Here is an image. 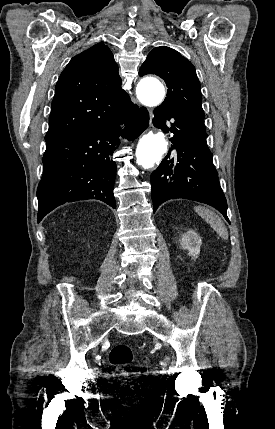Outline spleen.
<instances>
[{"label": "spleen", "mask_w": 275, "mask_h": 429, "mask_svg": "<svg viewBox=\"0 0 275 429\" xmlns=\"http://www.w3.org/2000/svg\"><path fill=\"white\" fill-rule=\"evenodd\" d=\"M194 209L199 214V216H201L208 224H210V226L221 238L228 239L227 228L218 215L202 206H196Z\"/></svg>", "instance_id": "spleen-1"}]
</instances>
